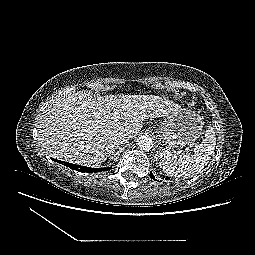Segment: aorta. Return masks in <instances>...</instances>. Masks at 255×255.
Returning a JSON list of instances; mask_svg holds the SVG:
<instances>
[{"mask_svg": "<svg viewBox=\"0 0 255 255\" xmlns=\"http://www.w3.org/2000/svg\"><path fill=\"white\" fill-rule=\"evenodd\" d=\"M137 145L141 150L149 151L153 148V139L149 136H140L137 139Z\"/></svg>", "mask_w": 255, "mask_h": 255, "instance_id": "obj_1", "label": "aorta"}]
</instances>
